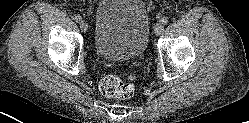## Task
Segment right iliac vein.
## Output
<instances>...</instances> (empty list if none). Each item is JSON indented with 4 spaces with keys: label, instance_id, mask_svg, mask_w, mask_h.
Masks as SVG:
<instances>
[{
    "label": "right iliac vein",
    "instance_id": "63e3f726",
    "mask_svg": "<svg viewBox=\"0 0 249 123\" xmlns=\"http://www.w3.org/2000/svg\"><path fill=\"white\" fill-rule=\"evenodd\" d=\"M79 25H80V29L83 31V32H86L87 31V29H88V24L85 22V21H80V23H79Z\"/></svg>",
    "mask_w": 249,
    "mask_h": 123
}]
</instances>
